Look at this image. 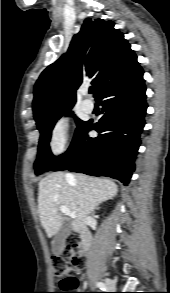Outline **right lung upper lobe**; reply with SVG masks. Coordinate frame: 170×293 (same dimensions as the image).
I'll list each match as a JSON object with an SVG mask.
<instances>
[{
    "label": "right lung upper lobe",
    "instance_id": "cb5924a9",
    "mask_svg": "<svg viewBox=\"0 0 170 293\" xmlns=\"http://www.w3.org/2000/svg\"><path fill=\"white\" fill-rule=\"evenodd\" d=\"M138 66L137 56L113 21L87 18L67 53L48 66L35 84L33 112L38 129L71 110L84 80L91 79L97 97L105 85Z\"/></svg>",
    "mask_w": 170,
    "mask_h": 293
}]
</instances>
